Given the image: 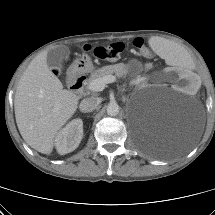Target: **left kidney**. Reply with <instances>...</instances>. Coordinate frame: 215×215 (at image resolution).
Segmentation results:
<instances>
[{
	"label": "left kidney",
	"instance_id": "5707ae66",
	"mask_svg": "<svg viewBox=\"0 0 215 215\" xmlns=\"http://www.w3.org/2000/svg\"><path fill=\"white\" fill-rule=\"evenodd\" d=\"M168 79L178 91L186 90L191 95H196L200 91L201 79L191 72L172 68L168 72Z\"/></svg>",
	"mask_w": 215,
	"mask_h": 215
}]
</instances>
